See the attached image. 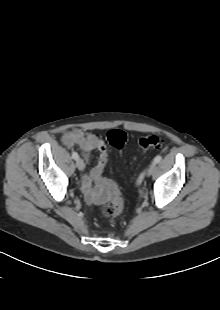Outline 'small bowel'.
Instances as JSON below:
<instances>
[{
  "label": "small bowel",
  "mask_w": 220,
  "mask_h": 310,
  "mask_svg": "<svg viewBox=\"0 0 220 310\" xmlns=\"http://www.w3.org/2000/svg\"><path fill=\"white\" fill-rule=\"evenodd\" d=\"M62 143L67 147H77L84 163L89 162L92 151L99 153L96 165L82 177V192L88 203L94 205L102 204L108 199L113 190V183L102 178V172L108 161L107 148L102 139L94 133H87L79 128H73L62 135Z\"/></svg>",
  "instance_id": "1"
}]
</instances>
